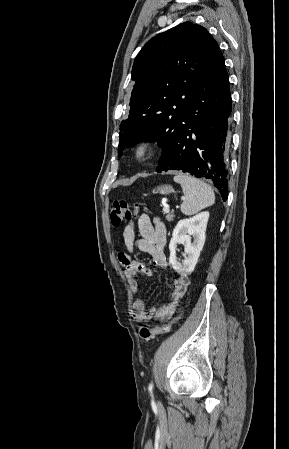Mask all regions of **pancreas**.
I'll list each match as a JSON object with an SVG mask.
<instances>
[{
  "label": "pancreas",
  "instance_id": "1",
  "mask_svg": "<svg viewBox=\"0 0 289 449\" xmlns=\"http://www.w3.org/2000/svg\"><path fill=\"white\" fill-rule=\"evenodd\" d=\"M166 219H167L168 221H170V222H173V221H174V214H173V212L167 213Z\"/></svg>",
  "mask_w": 289,
  "mask_h": 449
}]
</instances>
